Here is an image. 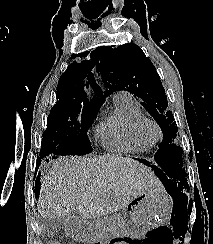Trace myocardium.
Masks as SVG:
<instances>
[{
    "label": "myocardium",
    "mask_w": 213,
    "mask_h": 244,
    "mask_svg": "<svg viewBox=\"0 0 213 244\" xmlns=\"http://www.w3.org/2000/svg\"><path fill=\"white\" fill-rule=\"evenodd\" d=\"M148 128H152L154 130L153 135L148 133ZM135 130L140 138L151 144L158 143L163 138V131L161 126L156 120L149 117L144 116L138 120L135 124Z\"/></svg>",
    "instance_id": "obj_1"
}]
</instances>
